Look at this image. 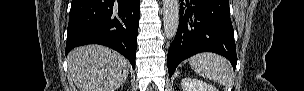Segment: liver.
<instances>
[{
  "label": "liver",
  "instance_id": "obj_1",
  "mask_svg": "<svg viewBox=\"0 0 304 91\" xmlns=\"http://www.w3.org/2000/svg\"><path fill=\"white\" fill-rule=\"evenodd\" d=\"M129 68L122 55L100 45L78 47L68 55L69 74L80 91H116Z\"/></svg>",
  "mask_w": 304,
  "mask_h": 91
}]
</instances>
